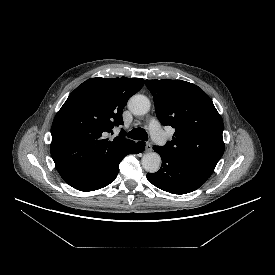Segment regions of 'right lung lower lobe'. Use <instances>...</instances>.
<instances>
[{
	"label": "right lung lower lobe",
	"mask_w": 275,
	"mask_h": 275,
	"mask_svg": "<svg viewBox=\"0 0 275 275\" xmlns=\"http://www.w3.org/2000/svg\"><path fill=\"white\" fill-rule=\"evenodd\" d=\"M145 149V143L144 142H138L134 144L126 153H124L119 159H117L115 162H113L110 166H108L106 169L99 171L97 173H94L92 175L76 179L70 182H67L71 187L80 190V191H94L100 188H103L110 183H112L119 172V163L121 160L130 153L138 154L144 151Z\"/></svg>",
	"instance_id": "obj_1"
}]
</instances>
